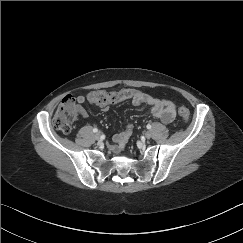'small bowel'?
I'll return each instance as SVG.
<instances>
[{"label":"small bowel","instance_id":"small-bowel-1","mask_svg":"<svg viewBox=\"0 0 243 243\" xmlns=\"http://www.w3.org/2000/svg\"><path fill=\"white\" fill-rule=\"evenodd\" d=\"M128 99H131L133 105L135 106H149L152 115L159 118L164 123H171L175 119V104L170 100L160 99L140 91H135V95L129 97ZM77 101L80 104H83L85 102L84 96H78ZM93 104H96L103 109L107 108V104ZM80 112L83 116L86 115L83 108H81ZM132 130V125H128L124 131L116 133L113 137L112 143L110 144L111 150H113L115 153H121L132 134Z\"/></svg>","mask_w":243,"mask_h":243}]
</instances>
